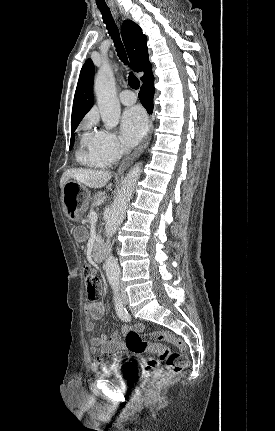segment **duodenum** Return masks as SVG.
<instances>
[{"label":"duodenum","instance_id":"1","mask_svg":"<svg viewBox=\"0 0 275 431\" xmlns=\"http://www.w3.org/2000/svg\"><path fill=\"white\" fill-rule=\"evenodd\" d=\"M106 250L107 247L105 242L101 239H98L93 248V259L96 262H101L105 257Z\"/></svg>","mask_w":275,"mask_h":431}]
</instances>
